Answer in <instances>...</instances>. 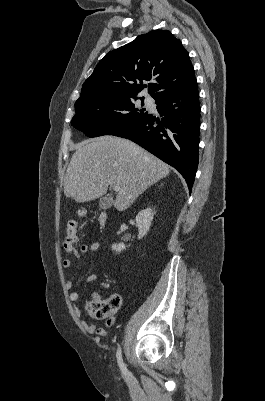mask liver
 Segmentation results:
<instances>
[{"label":"liver","instance_id":"1","mask_svg":"<svg viewBox=\"0 0 265 401\" xmlns=\"http://www.w3.org/2000/svg\"><path fill=\"white\" fill-rule=\"evenodd\" d=\"M67 168L64 192L76 203L94 201L109 184L120 186L113 205L125 211L148 186L165 178L171 166L126 138L98 136L78 142Z\"/></svg>","mask_w":265,"mask_h":401}]
</instances>
